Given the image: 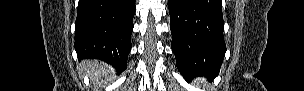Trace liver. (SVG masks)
<instances>
[{
  "label": "liver",
  "instance_id": "6515ba94",
  "mask_svg": "<svg viewBox=\"0 0 304 91\" xmlns=\"http://www.w3.org/2000/svg\"><path fill=\"white\" fill-rule=\"evenodd\" d=\"M81 67L87 71L90 78L94 81L106 76L110 72V67L107 64L97 60H85Z\"/></svg>",
  "mask_w": 304,
  "mask_h": 91
}]
</instances>
